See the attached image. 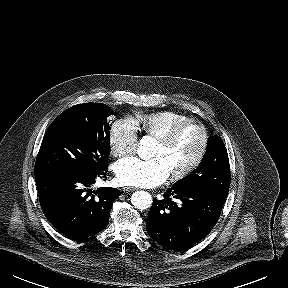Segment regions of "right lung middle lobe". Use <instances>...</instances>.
Returning <instances> with one entry per match:
<instances>
[{"instance_id":"right-lung-middle-lobe-1","label":"right lung middle lobe","mask_w":288,"mask_h":288,"mask_svg":"<svg viewBox=\"0 0 288 288\" xmlns=\"http://www.w3.org/2000/svg\"><path fill=\"white\" fill-rule=\"evenodd\" d=\"M112 114L102 103L78 104L62 112L45 133L35 174L58 171L94 176L107 169V118Z\"/></svg>"}]
</instances>
